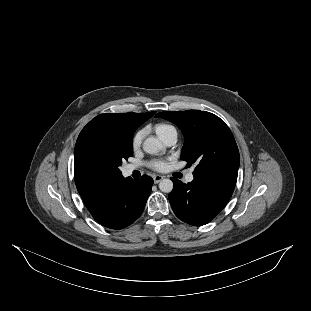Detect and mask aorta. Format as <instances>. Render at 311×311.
<instances>
[{"instance_id":"762f6f07","label":"aorta","mask_w":311,"mask_h":311,"mask_svg":"<svg viewBox=\"0 0 311 311\" xmlns=\"http://www.w3.org/2000/svg\"><path fill=\"white\" fill-rule=\"evenodd\" d=\"M142 149L148 154L158 153L161 149V143L158 139L153 137L146 138L142 143ZM159 189L162 192L170 193L173 190V182L170 179H163L159 183Z\"/></svg>"}]
</instances>
